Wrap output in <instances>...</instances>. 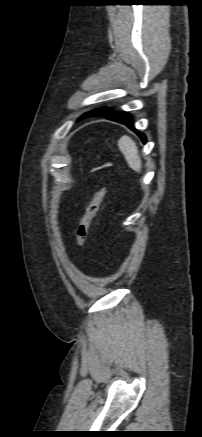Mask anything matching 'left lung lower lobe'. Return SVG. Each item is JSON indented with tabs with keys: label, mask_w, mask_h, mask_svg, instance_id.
Instances as JSON below:
<instances>
[{
	"label": "left lung lower lobe",
	"mask_w": 202,
	"mask_h": 437,
	"mask_svg": "<svg viewBox=\"0 0 202 437\" xmlns=\"http://www.w3.org/2000/svg\"><path fill=\"white\" fill-rule=\"evenodd\" d=\"M104 117L108 120H112V121L119 122V123L126 125L131 130L136 132V134L141 138L143 143H146L145 135L139 131H136L129 113H127V112H110V113L104 115Z\"/></svg>",
	"instance_id": "0a47b994"
}]
</instances>
